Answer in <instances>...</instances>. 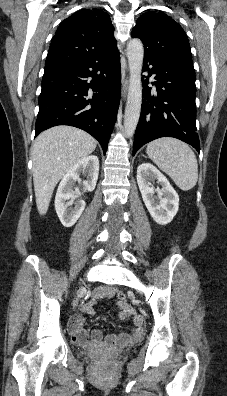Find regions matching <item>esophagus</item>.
Returning <instances> with one entry per match:
<instances>
[{
	"label": "esophagus",
	"mask_w": 227,
	"mask_h": 396,
	"mask_svg": "<svg viewBox=\"0 0 227 396\" xmlns=\"http://www.w3.org/2000/svg\"><path fill=\"white\" fill-rule=\"evenodd\" d=\"M128 89V79L125 80L123 87H122V96L125 98Z\"/></svg>",
	"instance_id": "esophagus-1"
}]
</instances>
